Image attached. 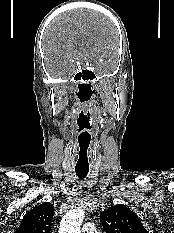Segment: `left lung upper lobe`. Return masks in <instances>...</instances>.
Returning <instances> with one entry per match:
<instances>
[{
	"mask_svg": "<svg viewBox=\"0 0 174 233\" xmlns=\"http://www.w3.org/2000/svg\"><path fill=\"white\" fill-rule=\"evenodd\" d=\"M100 221L105 233H148L138 216L122 204L104 210Z\"/></svg>",
	"mask_w": 174,
	"mask_h": 233,
	"instance_id": "5c2ea615",
	"label": "left lung upper lobe"
}]
</instances>
